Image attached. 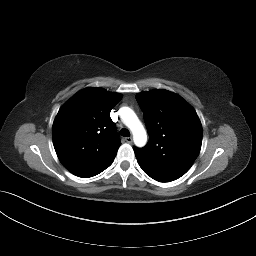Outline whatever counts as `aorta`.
<instances>
[{
  "mask_svg": "<svg viewBox=\"0 0 256 256\" xmlns=\"http://www.w3.org/2000/svg\"><path fill=\"white\" fill-rule=\"evenodd\" d=\"M119 112L122 122L133 134L135 145L143 147L147 142V133L135 112L129 107H122Z\"/></svg>",
  "mask_w": 256,
  "mask_h": 256,
  "instance_id": "1",
  "label": "aorta"
}]
</instances>
